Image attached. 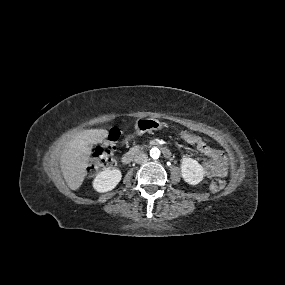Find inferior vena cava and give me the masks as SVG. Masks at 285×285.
<instances>
[{
    "mask_svg": "<svg viewBox=\"0 0 285 285\" xmlns=\"http://www.w3.org/2000/svg\"><path fill=\"white\" fill-rule=\"evenodd\" d=\"M148 156L145 153H138L135 157H134V161L136 163H144L147 161Z\"/></svg>",
    "mask_w": 285,
    "mask_h": 285,
    "instance_id": "1",
    "label": "inferior vena cava"
}]
</instances>
